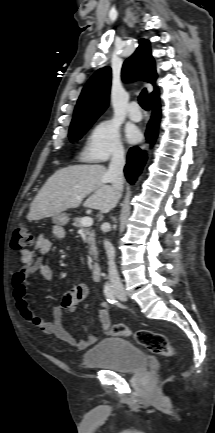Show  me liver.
I'll use <instances>...</instances> for the list:
<instances>
[{"label":"liver","instance_id":"obj_1","mask_svg":"<svg viewBox=\"0 0 215 433\" xmlns=\"http://www.w3.org/2000/svg\"><path fill=\"white\" fill-rule=\"evenodd\" d=\"M103 165H71L56 171L42 186L27 218L31 221L54 217L69 208L84 206L109 212L117 204L121 190L109 185Z\"/></svg>","mask_w":215,"mask_h":433}]
</instances>
